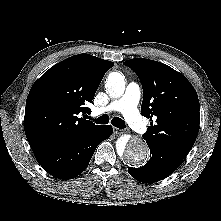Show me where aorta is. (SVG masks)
<instances>
[{"instance_id":"762f6f07","label":"aorta","mask_w":221,"mask_h":221,"mask_svg":"<svg viewBox=\"0 0 221 221\" xmlns=\"http://www.w3.org/2000/svg\"><path fill=\"white\" fill-rule=\"evenodd\" d=\"M106 91L113 98L121 97L125 91L124 75L111 72L106 80ZM116 148L117 152L132 165L142 164L149 153L146 142L138 137L122 136L117 140Z\"/></svg>"}]
</instances>
